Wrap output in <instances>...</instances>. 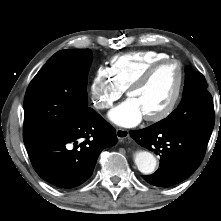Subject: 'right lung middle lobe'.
<instances>
[{
    "mask_svg": "<svg viewBox=\"0 0 221 221\" xmlns=\"http://www.w3.org/2000/svg\"><path fill=\"white\" fill-rule=\"evenodd\" d=\"M89 49L61 50L36 74L25 94L23 135L72 127L88 110Z\"/></svg>",
    "mask_w": 221,
    "mask_h": 221,
    "instance_id": "obj_1",
    "label": "right lung middle lobe"
}]
</instances>
